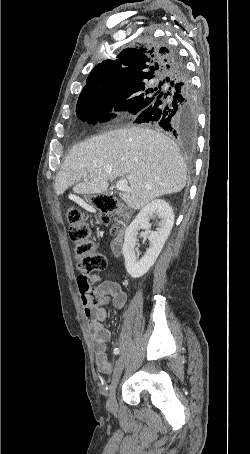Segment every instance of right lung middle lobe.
Masks as SVG:
<instances>
[{
	"label": "right lung middle lobe",
	"instance_id": "dd1d6c3e",
	"mask_svg": "<svg viewBox=\"0 0 250 454\" xmlns=\"http://www.w3.org/2000/svg\"><path fill=\"white\" fill-rule=\"evenodd\" d=\"M160 86L154 90H146L145 84L139 85L133 89H130L117 97L110 98L100 102H86L80 103L76 106L77 117L82 121L94 124L98 120L100 122L109 120L111 114L109 112L113 107L115 109L128 110L132 114H137L143 107L149 104L158 94ZM153 93V95H147Z\"/></svg>",
	"mask_w": 250,
	"mask_h": 454
}]
</instances>
